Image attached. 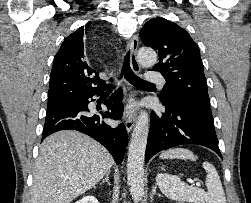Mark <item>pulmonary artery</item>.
Here are the masks:
<instances>
[{
    "label": "pulmonary artery",
    "mask_w": 251,
    "mask_h": 203,
    "mask_svg": "<svg viewBox=\"0 0 251 203\" xmlns=\"http://www.w3.org/2000/svg\"><path fill=\"white\" fill-rule=\"evenodd\" d=\"M146 81L151 82V83H157L160 85H165L166 80L164 76L160 73L156 72H150L145 75Z\"/></svg>",
    "instance_id": "obj_1"
}]
</instances>
